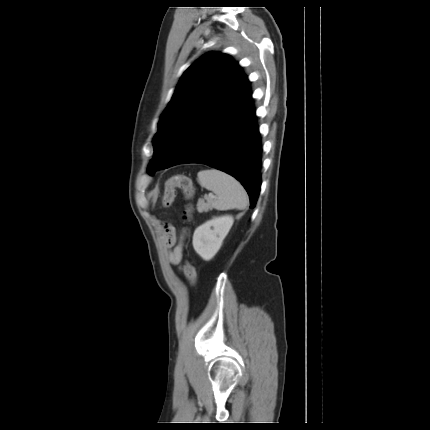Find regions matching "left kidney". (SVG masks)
I'll use <instances>...</instances> for the list:
<instances>
[{"instance_id": "left-kidney-1", "label": "left kidney", "mask_w": 430, "mask_h": 430, "mask_svg": "<svg viewBox=\"0 0 430 430\" xmlns=\"http://www.w3.org/2000/svg\"><path fill=\"white\" fill-rule=\"evenodd\" d=\"M233 222V216L225 214L215 216L196 228L192 243L203 260L209 261L217 254Z\"/></svg>"}]
</instances>
